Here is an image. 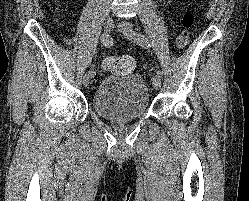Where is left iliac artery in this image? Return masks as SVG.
I'll return each instance as SVG.
<instances>
[{
    "mask_svg": "<svg viewBox=\"0 0 249 201\" xmlns=\"http://www.w3.org/2000/svg\"><path fill=\"white\" fill-rule=\"evenodd\" d=\"M134 38H135V41L138 44H140L141 46H143V47H149L150 46L148 39L144 35L136 32V33H134ZM156 74L158 76H160V77L162 76V72L160 70H158L156 72Z\"/></svg>",
    "mask_w": 249,
    "mask_h": 201,
    "instance_id": "left-iliac-artery-1",
    "label": "left iliac artery"
}]
</instances>
